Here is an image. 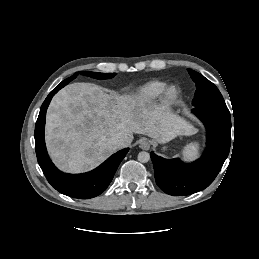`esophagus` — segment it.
Segmentation results:
<instances>
[{"instance_id":"1","label":"esophagus","mask_w":259,"mask_h":259,"mask_svg":"<svg viewBox=\"0 0 259 259\" xmlns=\"http://www.w3.org/2000/svg\"><path fill=\"white\" fill-rule=\"evenodd\" d=\"M150 146V142L146 139L139 141V148H141L142 150H149Z\"/></svg>"}]
</instances>
